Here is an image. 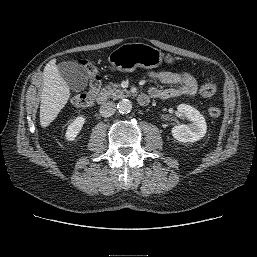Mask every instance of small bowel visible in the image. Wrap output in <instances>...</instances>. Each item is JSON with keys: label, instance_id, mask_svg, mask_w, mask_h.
Segmentation results:
<instances>
[{"label": "small bowel", "instance_id": "small-bowel-1", "mask_svg": "<svg viewBox=\"0 0 257 257\" xmlns=\"http://www.w3.org/2000/svg\"><path fill=\"white\" fill-rule=\"evenodd\" d=\"M148 76L162 84L172 85L169 88L152 86L148 96L155 99H170L180 96H194L198 90L196 78L187 72L153 71Z\"/></svg>", "mask_w": 257, "mask_h": 257}]
</instances>
